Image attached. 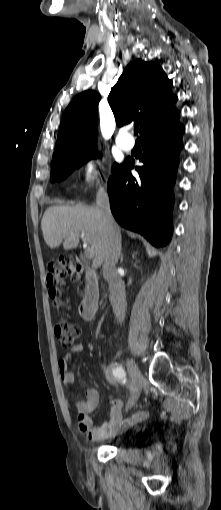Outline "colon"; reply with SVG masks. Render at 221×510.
<instances>
[{
    "label": "colon",
    "instance_id": "obj_1",
    "mask_svg": "<svg viewBox=\"0 0 221 510\" xmlns=\"http://www.w3.org/2000/svg\"><path fill=\"white\" fill-rule=\"evenodd\" d=\"M68 277L72 280L81 277V267L72 256L63 255L49 262L47 284L49 296L56 307L63 305L61 286ZM54 333L64 347H71L80 335V327L76 322L61 319L55 323Z\"/></svg>",
    "mask_w": 221,
    "mask_h": 510
}]
</instances>
